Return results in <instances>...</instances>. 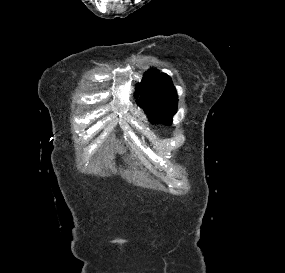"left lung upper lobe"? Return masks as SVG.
<instances>
[{"label":"left lung upper lobe","mask_w":285,"mask_h":273,"mask_svg":"<svg viewBox=\"0 0 285 273\" xmlns=\"http://www.w3.org/2000/svg\"><path fill=\"white\" fill-rule=\"evenodd\" d=\"M140 94L138 104L153 123L170 125L177 111V93L171 78L165 73L151 69L137 84L135 96Z\"/></svg>","instance_id":"obj_1"}]
</instances>
